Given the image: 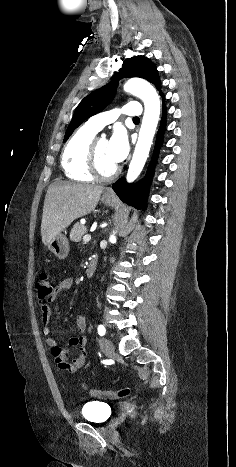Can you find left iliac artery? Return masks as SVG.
Returning <instances> with one entry per match:
<instances>
[{
	"mask_svg": "<svg viewBox=\"0 0 236 467\" xmlns=\"http://www.w3.org/2000/svg\"><path fill=\"white\" fill-rule=\"evenodd\" d=\"M97 331L100 336H103L106 333V329L102 324L98 325Z\"/></svg>",
	"mask_w": 236,
	"mask_h": 467,
	"instance_id": "44dca946",
	"label": "left iliac artery"
}]
</instances>
